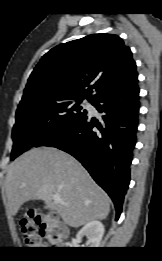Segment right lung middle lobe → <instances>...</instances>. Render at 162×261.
I'll return each mask as SVG.
<instances>
[{"label":"right lung middle lobe","instance_id":"1","mask_svg":"<svg viewBox=\"0 0 162 261\" xmlns=\"http://www.w3.org/2000/svg\"><path fill=\"white\" fill-rule=\"evenodd\" d=\"M84 99L80 96L52 95L20 102L12 132L11 160L49 134L86 116L87 111L79 105Z\"/></svg>","mask_w":162,"mask_h":261}]
</instances>
